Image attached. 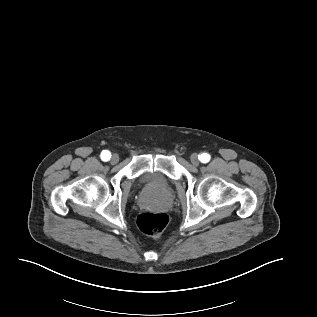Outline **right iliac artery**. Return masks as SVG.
I'll use <instances>...</instances> for the list:
<instances>
[{"mask_svg": "<svg viewBox=\"0 0 317 317\" xmlns=\"http://www.w3.org/2000/svg\"><path fill=\"white\" fill-rule=\"evenodd\" d=\"M100 156L103 161H108L111 158V153L108 150H104L101 152Z\"/></svg>", "mask_w": 317, "mask_h": 317, "instance_id": "right-iliac-artery-1", "label": "right iliac artery"}]
</instances>
